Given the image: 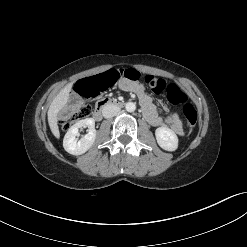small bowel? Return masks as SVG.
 Listing matches in <instances>:
<instances>
[{
  "instance_id": "c3829d8e",
  "label": "small bowel",
  "mask_w": 247,
  "mask_h": 247,
  "mask_svg": "<svg viewBox=\"0 0 247 247\" xmlns=\"http://www.w3.org/2000/svg\"><path fill=\"white\" fill-rule=\"evenodd\" d=\"M118 86L121 90L135 93L138 96L144 115L150 124L160 128H169L177 135H183V125L178 114L171 113L166 118L160 117L157 114L151 99L146 95L144 87L139 82L123 78L120 80Z\"/></svg>"
}]
</instances>
